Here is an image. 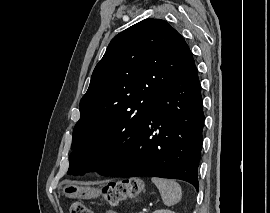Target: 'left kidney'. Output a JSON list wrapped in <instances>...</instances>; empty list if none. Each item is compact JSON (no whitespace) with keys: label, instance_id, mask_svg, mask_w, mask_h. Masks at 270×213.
Instances as JSON below:
<instances>
[{"label":"left kidney","instance_id":"obj_1","mask_svg":"<svg viewBox=\"0 0 270 213\" xmlns=\"http://www.w3.org/2000/svg\"><path fill=\"white\" fill-rule=\"evenodd\" d=\"M153 213H175V212H173L171 210H156Z\"/></svg>","mask_w":270,"mask_h":213}]
</instances>
